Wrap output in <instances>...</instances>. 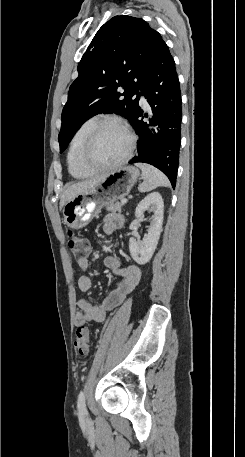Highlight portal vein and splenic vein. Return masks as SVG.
I'll list each match as a JSON object with an SVG mask.
<instances>
[{"instance_id":"18ae733b","label":"portal vein and splenic vein","mask_w":245,"mask_h":457,"mask_svg":"<svg viewBox=\"0 0 245 457\" xmlns=\"http://www.w3.org/2000/svg\"><path fill=\"white\" fill-rule=\"evenodd\" d=\"M121 202H127V198H122Z\"/></svg>"}]
</instances>
